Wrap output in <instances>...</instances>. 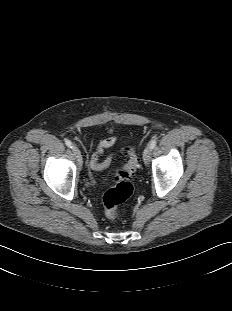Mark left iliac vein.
<instances>
[{
    "mask_svg": "<svg viewBox=\"0 0 232 311\" xmlns=\"http://www.w3.org/2000/svg\"><path fill=\"white\" fill-rule=\"evenodd\" d=\"M151 151L152 149L150 148V146H147L145 149H144V152H143V159H144V163L146 165H149L150 163V160H151Z\"/></svg>",
    "mask_w": 232,
    "mask_h": 311,
    "instance_id": "left-iliac-vein-1",
    "label": "left iliac vein"
}]
</instances>
